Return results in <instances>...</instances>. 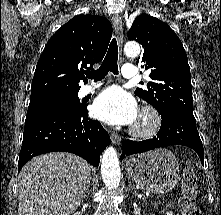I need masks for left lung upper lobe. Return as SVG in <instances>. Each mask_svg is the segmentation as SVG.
Returning <instances> with one entry per match:
<instances>
[{"instance_id":"1","label":"left lung upper lobe","mask_w":221,"mask_h":215,"mask_svg":"<svg viewBox=\"0 0 221 215\" xmlns=\"http://www.w3.org/2000/svg\"><path fill=\"white\" fill-rule=\"evenodd\" d=\"M127 36L139 42L144 51L136 65L151 71L146 88H137L135 94L154 106L161 116L193 114L190 67L175 32L159 19L142 14L134 20Z\"/></svg>"}]
</instances>
